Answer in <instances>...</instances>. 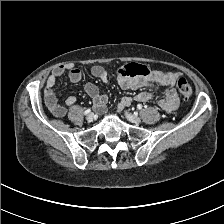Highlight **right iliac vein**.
Wrapping results in <instances>:
<instances>
[{
  "label": "right iliac vein",
  "instance_id": "right-iliac-vein-1",
  "mask_svg": "<svg viewBox=\"0 0 224 224\" xmlns=\"http://www.w3.org/2000/svg\"><path fill=\"white\" fill-rule=\"evenodd\" d=\"M86 119H87L88 122H92L93 119H94V115L93 114H89V115H87Z\"/></svg>",
  "mask_w": 224,
  "mask_h": 224
}]
</instances>
